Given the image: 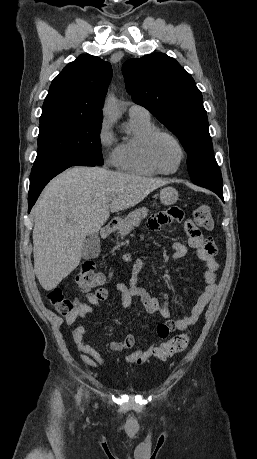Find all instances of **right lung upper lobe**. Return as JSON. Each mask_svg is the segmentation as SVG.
<instances>
[{"mask_svg": "<svg viewBox=\"0 0 257 459\" xmlns=\"http://www.w3.org/2000/svg\"><path fill=\"white\" fill-rule=\"evenodd\" d=\"M111 78L110 63L80 55L52 81L42 114L65 113L102 120L101 105Z\"/></svg>", "mask_w": 257, "mask_h": 459, "instance_id": "1", "label": "right lung upper lobe"}]
</instances>
